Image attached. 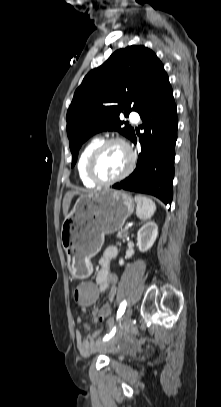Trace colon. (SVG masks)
Segmentation results:
<instances>
[{
	"instance_id": "obj_1",
	"label": "colon",
	"mask_w": 221,
	"mask_h": 407,
	"mask_svg": "<svg viewBox=\"0 0 221 407\" xmlns=\"http://www.w3.org/2000/svg\"><path fill=\"white\" fill-rule=\"evenodd\" d=\"M98 285L94 283L92 277H86L84 283H75L72 298L76 306H79L81 311H88L90 306L96 305V300L99 299L100 294L97 291ZM112 316V308L110 305H103L99 314H95V321L111 322L109 319Z\"/></svg>"
}]
</instances>
